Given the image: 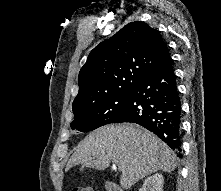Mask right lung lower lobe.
Listing matches in <instances>:
<instances>
[{
    "mask_svg": "<svg viewBox=\"0 0 221 191\" xmlns=\"http://www.w3.org/2000/svg\"><path fill=\"white\" fill-rule=\"evenodd\" d=\"M121 122L137 123L181 152V102L170 55L133 88L128 109L116 121Z\"/></svg>",
    "mask_w": 221,
    "mask_h": 191,
    "instance_id": "98d812e1",
    "label": "right lung lower lobe"
}]
</instances>
